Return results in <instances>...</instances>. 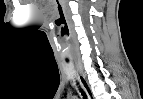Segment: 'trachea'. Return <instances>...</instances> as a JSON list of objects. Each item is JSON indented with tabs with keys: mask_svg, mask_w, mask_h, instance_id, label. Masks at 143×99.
Masks as SVG:
<instances>
[{
	"mask_svg": "<svg viewBox=\"0 0 143 99\" xmlns=\"http://www.w3.org/2000/svg\"><path fill=\"white\" fill-rule=\"evenodd\" d=\"M80 91H81V93L83 95V98H86L87 96H86L85 92L82 89H80Z\"/></svg>",
	"mask_w": 143,
	"mask_h": 99,
	"instance_id": "3493384b",
	"label": "trachea"
}]
</instances>
